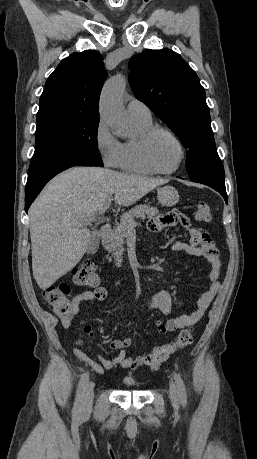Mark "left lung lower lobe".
<instances>
[{"label": "left lung lower lobe", "mask_w": 257, "mask_h": 459, "mask_svg": "<svg viewBox=\"0 0 257 459\" xmlns=\"http://www.w3.org/2000/svg\"><path fill=\"white\" fill-rule=\"evenodd\" d=\"M198 182L201 184H205L207 186H210L211 188L215 189L216 191L220 192V194L223 196L224 200L226 201L227 204V194H226V188H225V182H213V181H194Z\"/></svg>", "instance_id": "1"}]
</instances>
